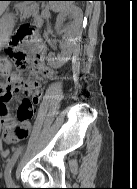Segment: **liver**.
Returning <instances> with one entry per match:
<instances>
[{
	"label": "liver",
	"instance_id": "obj_1",
	"mask_svg": "<svg viewBox=\"0 0 137 189\" xmlns=\"http://www.w3.org/2000/svg\"><path fill=\"white\" fill-rule=\"evenodd\" d=\"M9 2L8 1H0V16L5 11V9L8 7Z\"/></svg>",
	"mask_w": 137,
	"mask_h": 189
}]
</instances>
